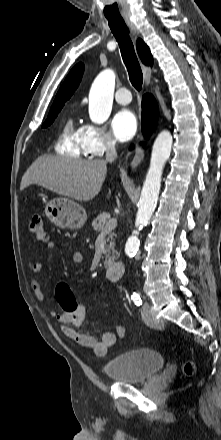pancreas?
Instances as JSON below:
<instances>
[{"instance_id": "pancreas-1", "label": "pancreas", "mask_w": 221, "mask_h": 440, "mask_svg": "<svg viewBox=\"0 0 221 440\" xmlns=\"http://www.w3.org/2000/svg\"><path fill=\"white\" fill-rule=\"evenodd\" d=\"M110 219H111V217H110L109 213H106V212L100 213L96 217V219H94L92 222L93 229L96 232H105L106 226L108 225ZM113 237H114V233H111L109 231V236L107 238V241H110V245L108 246L107 251L109 253H111V251H112L111 258L115 257L114 256L115 251H114V238Z\"/></svg>"}]
</instances>
